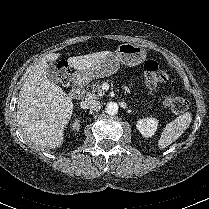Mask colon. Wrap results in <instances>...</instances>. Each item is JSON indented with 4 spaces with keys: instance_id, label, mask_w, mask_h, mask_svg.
I'll list each match as a JSON object with an SVG mask.
<instances>
[{
    "instance_id": "5ec220e1",
    "label": "colon",
    "mask_w": 209,
    "mask_h": 209,
    "mask_svg": "<svg viewBox=\"0 0 209 209\" xmlns=\"http://www.w3.org/2000/svg\"><path fill=\"white\" fill-rule=\"evenodd\" d=\"M144 83L147 88L154 89L158 83L167 81V75L159 68L155 60L149 59L143 65ZM58 78L63 86L67 87L71 79V70L65 61H60L57 66ZM167 108L174 113H183L189 108V101L180 96H168L164 100Z\"/></svg>"
}]
</instances>
